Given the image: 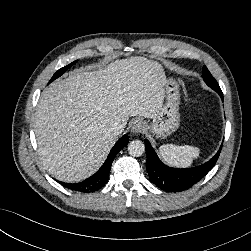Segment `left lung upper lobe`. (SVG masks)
Returning <instances> with one entry per match:
<instances>
[{"instance_id":"obj_1","label":"left lung upper lobe","mask_w":251,"mask_h":251,"mask_svg":"<svg viewBox=\"0 0 251 251\" xmlns=\"http://www.w3.org/2000/svg\"><path fill=\"white\" fill-rule=\"evenodd\" d=\"M202 78L204 79L205 83L211 87L212 89L214 88H220L217 81L215 80V78L211 75V73L209 72V70L207 69L206 66L203 67V74H202Z\"/></svg>"}]
</instances>
